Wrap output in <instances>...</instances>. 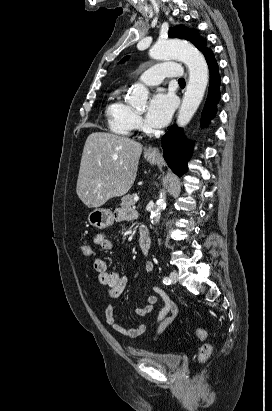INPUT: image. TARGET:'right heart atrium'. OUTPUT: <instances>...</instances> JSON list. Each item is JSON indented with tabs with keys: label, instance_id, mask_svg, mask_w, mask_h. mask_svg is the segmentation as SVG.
I'll list each match as a JSON object with an SVG mask.
<instances>
[{
	"label": "right heart atrium",
	"instance_id": "d8ad5b80",
	"mask_svg": "<svg viewBox=\"0 0 272 411\" xmlns=\"http://www.w3.org/2000/svg\"><path fill=\"white\" fill-rule=\"evenodd\" d=\"M132 121H133V128H139L142 125V120L140 118V116L136 113H133V117H132Z\"/></svg>",
	"mask_w": 272,
	"mask_h": 411
}]
</instances>
